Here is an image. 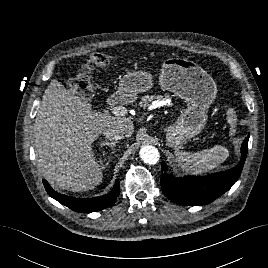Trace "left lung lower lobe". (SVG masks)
<instances>
[{"label":"left lung lower lobe","mask_w":268,"mask_h":268,"mask_svg":"<svg viewBox=\"0 0 268 268\" xmlns=\"http://www.w3.org/2000/svg\"><path fill=\"white\" fill-rule=\"evenodd\" d=\"M249 136L241 146V160L232 169L206 176L176 178L167 173L162 162L161 188L166 197L182 205H203L224 194L237 181L248 151Z\"/></svg>","instance_id":"0a47b994"}]
</instances>
